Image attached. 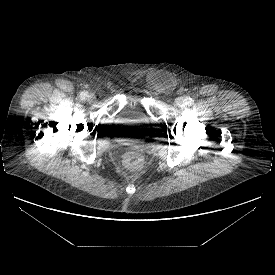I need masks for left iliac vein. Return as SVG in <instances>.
<instances>
[{
	"instance_id": "4c4485c4",
	"label": "left iliac vein",
	"mask_w": 275,
	"mask_h": 275,
	"mask_svg": "<svg viewBox=\"0 0 275 275\" xmlns=\"http://www.w3.org/2000/svg\"><path fill=\"white\" fill-rule=\"evenodd\" d=\"M175 104L178 105V106H181L184 104V99L181 98V97H178L176 100H175Z\"/></svg>"
}]
</instances>
